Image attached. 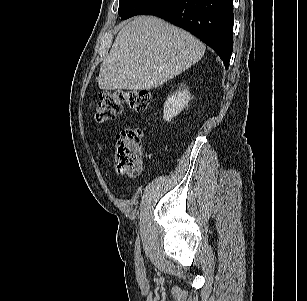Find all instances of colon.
Instances as JSON below:
<instances>
[{
	"mask_svg": "<svg viewBox=\"0 0 307 301\" xmlns=\"http://www.w3.org/2000/svg\"><path fill=\"white\" fill-rule=\"evenodd\" d=\"M151 94L144 90H114L100 95L96 106L95 118L99 122H108L123 111L124 106L144 113L151 104ZM118 173L138 176L142 172L143 149L141 132L137 129L123 130L116 139L114 147Z\"/></svg>",
	"mask_w": 307,
	"mask_h": 301,
	"instance_id": "obj_1",
	"label": "colon"
}]
</instances>
